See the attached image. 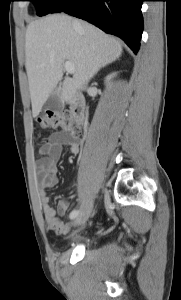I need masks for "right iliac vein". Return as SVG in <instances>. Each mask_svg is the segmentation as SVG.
Instances as JSON below:
<instances>
[{"mask_svg": "<svg viewBox=\"0 0 181 300\" xmlns=\"http://www.w3.org/2000/svg\"><path fill=\"white\" fill-rule=\"evenodd\" d=\"M92 209V204H89L87 208L76 217L75 224L79 225L84 223L90 217Z\"/></svg>", "mask_w": 181, "mask_h": 300, "instance_id": "1", "label": "right iliac vein"}]
</instances>
